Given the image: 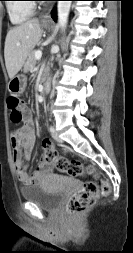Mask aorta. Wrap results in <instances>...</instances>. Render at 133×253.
<instances>
[{"mask_svg":"<svg viewBox=\"0 0 133 253\" xmlns=\"http://www.w3.org/2000/svg\"><path fill=\"white\" fill-rule=\"evenodd\" d=\"M70 7H71V1H58L57 24L63 31H65V29L67 28ZM49 86H50V82L48 80L46 84V89H48Z\"/></svg>","mask_w":133,"mask_h":253,"instance_id":"aorta-1","label":"aorta"}]
</instances>
